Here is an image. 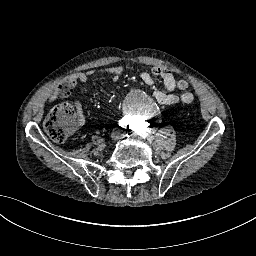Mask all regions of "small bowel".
<instances>
[{
  "instance_id": "c3829d8e",
  "label": "small bowel",
  "mask_w": 256,
  "mask_h": 256,
  "mask_svg": "<svg viewBox=\"0 0 256 256\" xmlns=\"http://www.w3.org/2000/svg\"><path fill=\"white\" fill-rule=\"evenodd\" d=\"M101 72L109 74L113 81H118L123 73L124 68L122 66H113L103 69ZM95 74V71L79 72L72 75L69 78V82L72 84L73 88L77 83H86L91 76ZM141 80L148 86L153 85L154 78H160L163 85L167 91L158 90L154 93L156 101L162 105H172L181 100L185 104H190L194 100V95L190 91H184L181 96L172 93L175 89H178L175 85L176 78L173 72L165 67L156 66L153 67L150 72H141ZM185 90V89H184ZM58 97V93L54 91L51 94V100H55ZM75 107L77 109V114H79L80 122H83L82 106L79 101H75Z\"/></svg>"
}]
</instances>
